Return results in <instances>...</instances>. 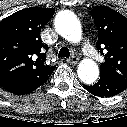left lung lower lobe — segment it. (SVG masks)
<instances>
[{"mask_svg":"<svg viewBox=\"0 0 127 127\" xmlns=\"http://www.w3.org/2000/svg\"><path fill=\"white\" fill-rule=\"evenodd\" d=\"M84 87L96 96L110 97L124 91L127 88V84H124L114 78L100 75V79L97 83L91 86L84 85Z\"/></svg>","mask_w":127,"mask_h":127,"instance_id":"left-lung-lower-lobe-1","label":"left lung lower lobe"}]
</instances>
